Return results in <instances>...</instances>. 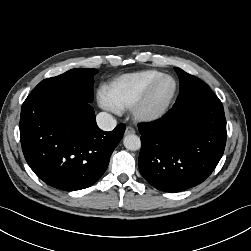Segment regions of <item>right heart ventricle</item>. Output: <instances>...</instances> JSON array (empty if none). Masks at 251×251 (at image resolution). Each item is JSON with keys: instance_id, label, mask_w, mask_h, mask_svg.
Returning <instances> with one entry per match:
<instances>
[{"instance_id": "obj_1", "label": "right heart ventricle", "mask_w": 251, "mask_h": 251, "mask_svg": "<svg viewBox=\"0 0 251 251\" xmlns=\"http://www.w3.org/2000/svg\"><path fill=\"white\" fill-rule=\"evenodd\" d=\"M162 75L164 74L158 70L122 74L111 80L104 87V92L116 110L128 109L133 106L148 85Z\"/></svg>"}]
</instances>
